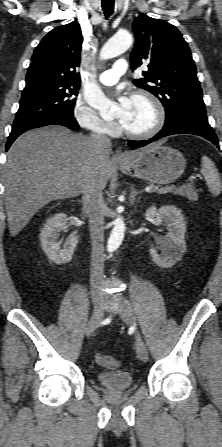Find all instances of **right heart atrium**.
I'll list each match as a JSON object with an SVG mask.
<instances>
[{"mask_svg":"<svg viewBox=\"0 0 222 447\" xmlns=\"http://www.w3.org/2000/svg\"><path fill=\"white\" fill-rule=\"evenodd\" d=\"M73 118L81 127L100 135L113 134L115 131L114 122L102 119L92 108L83 102L75 105Z\"/></svg>","mask_w":222,"mask_h":447,"instance_id":"right-heart-atrium-1","label":"right heart atrium"}]
</instances>
